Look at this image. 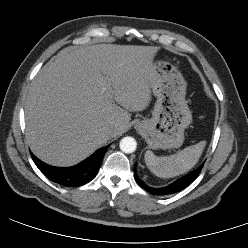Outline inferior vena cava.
Masks as SVG:
<instances>
[{"instance_id":"602c4592","label":"inferior vena cava","mask_w":248,"mask_h":248,"mask_svg":"<svg viewBox=\"0 0 248 248\" xmlns=\"http://www.w3.org/2000/svg\"><path fill=\"white\" fill-rule=\"evenodd\" d=\"M105 133L107 136H111L114 133V129L113 128H108L105 130Z\"/></svg>"}]
</instances>
